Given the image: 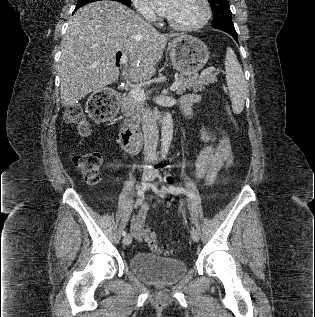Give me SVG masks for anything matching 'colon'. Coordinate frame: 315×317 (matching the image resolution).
Instances as JSON below:
<instances>
[{
    "label": "colon",
    "mask_w": 315,
    "mask_h": 317,
    "mask_svg": "<svg viewBox=\"0 0 315 317\" xmlns=\"http://www.w3.org/2000/svg\"><path fill=\"white\" fill-rule=\"evenodd\" d=\"M117 96L112 89H102L95 92L89 99L87 111L90 117L96 121H108L117 112ZM230 117L235 125L236 120L230 113ZM65 121L72 125L80 136L89 133V124L85 113L79 106H71L65 112ZM74 164L80 170L85 180L90 184H96L101 177L102 157L96 151L87 152L74 157ZM142 239L148 246L157 253L169 254L172 251L161 245L156 237L155 231L151 227H144Z\"/></svg>",
    "instance_id": "1"
}]
</instances>
